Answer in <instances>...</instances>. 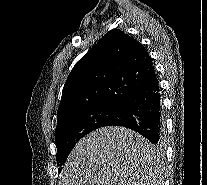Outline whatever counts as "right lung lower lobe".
Returning a JSON list of instances; mask_svg holds the SVG:
<instances>
[{"label": "right lung lower lobe", "mask_w": 207, "mask_h": 185, "mask_svg": "<svg viewBox=\"0 0 207 185\" xmlns=\"http://www.w3.org/2000/svg\"><path fill=\"white\" fill-rule=\"evenodd\" d=\"M122 126L147 138L156 148L163 147L164 116L157 77L136 91L106 126Z\"/></svg>", "instance_id": "obj_1"}]
</instances>
